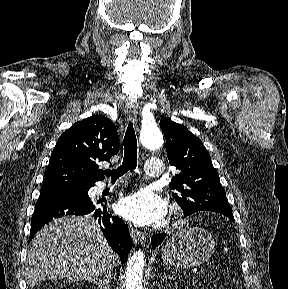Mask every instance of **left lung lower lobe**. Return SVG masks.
<instances>
[{
  "mask_svg": "<svg viewBox=\"0 0 288 289\" xmlns=\"http://www.w3.org/2000/svg\"><path fill=\"white\" fill-rule=\"evenodd\" d=\"M165 237H166V234H156V235H154L151 238L152 247L155 249L157 246H159L163 242Z\"/></svg>",
  "mask_w": 288,
  "mask_h": 289,
  "instance_id": "left-lung-lower-lobe-1",
  "label": "left lung lower lobe"
}]
</instances>
